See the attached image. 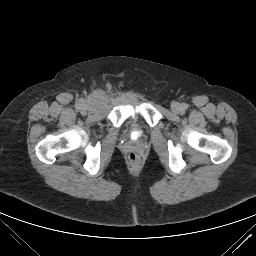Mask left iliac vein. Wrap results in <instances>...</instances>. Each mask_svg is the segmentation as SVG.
<instances>
[{
    "mask_svg": "<svg viewBox=\"0 0 256 256\" xmlns=\"http://www.w3.org/2000/svg\"><path fill=\"white\" fill-rule=\"evenodd\" d=\"M171 109L174 113H180L181 112V105L178 102H173L171 104Z\"/></svg>",
    "mask_w": 256,
    "mask_h": 256,
    "instance_id": "obj_1",
    "label": "left iliac vein"
}]
</instances>
